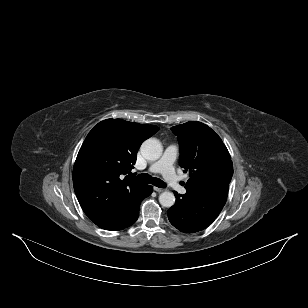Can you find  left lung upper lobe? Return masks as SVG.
Returning <instances> with one entry per match:
<instances>
[{"label": "left lung upper lobe", "mask_w": 308, "mask_h": 308, "mask_svg": "<svg viewBox=\"0 0 308 308\" xmlns=\"http://www.w3.org/2000/svg\"><path fill=\"white\" fill-rule=\"evenodd\" d=\"M172 131L180 144V166L190 175L185 185L187 195L229 185L233 175L230 154L209 126L187 122L173 127Z\"/></svg>", "instance_id": "obj_1"}]
</instances>
